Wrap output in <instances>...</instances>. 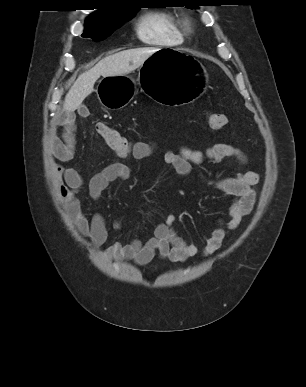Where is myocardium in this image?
<instances>
[{"instance_id": "f54148a6", "label": "myocardium", "mask_w": 306, "mask_h": 387, "mask_svg": "<svg viewBox=\"0 0 306 387\" xmlns=\"http://www.w3.org/2000/svg\"><path fill=\"white\" fill-rule=\"evenodd\" d=\"M182 26L186 31H189L191 29V23L188 19H184L182 21Z\"/></svg>"}]
</instances>
